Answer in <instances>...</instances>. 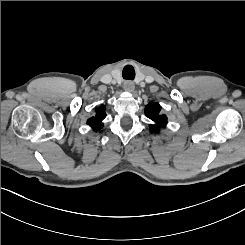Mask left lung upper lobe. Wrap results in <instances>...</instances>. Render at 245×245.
I'll list each match as a JSON object with an SVG mask.
<instances>
[{
    "label": "left lung upper lobe",
    "instance_id": "obj_1",
    "mask_svg": "<svg viewBox=\"0 0 245 245\" xmlns=\"http://www.w3.org/2000/svg\"><path fill=\"white\" fill-rule=\"evenodd\" d=\"M161 107L158 103L150 102L145 107V115L150 118L155 124H151V132H158L159 128H163L167 125L166 115L160 113Z\"/></svg>",
    "mask_w": 245,
    "mask_h": 245
}]
</instances>
